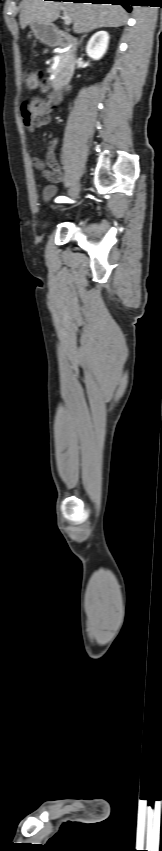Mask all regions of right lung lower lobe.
<instances>
[{
	"instance_id": "obj_1",
	"label": "right lung lower lobe",
	"mask_w": 162,
	"mask_h": 851,
	"mask_svg": "<svg viewBox=\"0 0 162 851\" xmlns=\"http://www.w3.org/2000/svg\"><path fill=\"white\" fill-rule=\"evenodd\" d=\"M63 1V0H57ZM133 0H73V2H83V3H94V4H107L110 3L112 5H122L127 11H131V6Z\"/></svg>"
}]
</instances>
